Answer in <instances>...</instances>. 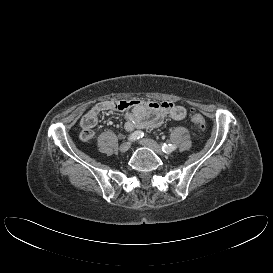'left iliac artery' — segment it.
<instances>
[{
    "label": "left iliac artery",
    "instance_id": "obj_1",
    "mask_svg": "<svg viewBox=\"0 0 273 273\" xmlns=\"http://www.w3.org/2000/svg\"><path fill=\"white\" fill-rule=\"evenodd\" d=\"M161 146H162L163 152H165L167 154L171 153L172 151H174L177 148L176 145L167 144V143H163V144H161Z\"/></svg>",
    "mask_w": 273,
    "mask_h": 273
}]
</instances>
